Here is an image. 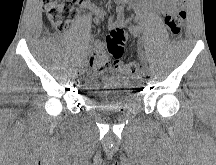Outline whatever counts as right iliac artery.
Here are the masks:
<instances>
[{
	"instance_id": "obj_1",
	"label": "right iliac artery",
	"mask_w": 216,
	"mask_h": 165,
	"mask_svg": "<svg viewBox=\"0 0 216 165\" xmlns=\"http://www.w3.org/2000/svg\"><path fill=\"white\" fill-rule=\"evenodd\" d=\"M84 59H85V58H84L83 56L79 59V65H80V66H83L84 63L86 62Z\"/></svg>"
}]
</instances>
